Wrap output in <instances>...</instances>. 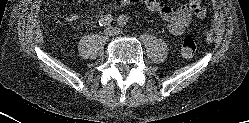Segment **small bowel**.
I'll list each match as a JSON object with an SVG mask.
<instances>
[{"label":"small bowel","mask_w":249,"mask_h":123,"mask_svg":"<svg viewBox=\"0 0 249 123\" xmlns=\"http://www.w3.org/2000/svg\"><path fill=\"white\" fill-rule=\"evenodd\" d=\"M143 3L151 12L158 13L166 22L168 30L174 35H181L191 21L202 19L206 15V9L202 0H189L177 9L161 4L158 0H121L122 6H130Z\"/></svg>","instance_id":"c3829d8e"}]
</instances>
